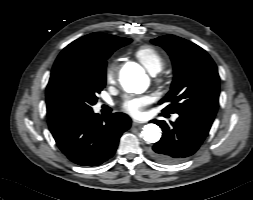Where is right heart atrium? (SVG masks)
Returning <instances> with one entry per match:
<instances>
[{
	"label": "right heart atrium",
	"instance_id": "obj_1",
	"mask_svg": "<svg viewBox=\"0 0 253 200\" xmlns=\"http://www.w3.org/2000/svg\"><path fill=\"white\" fill-rule=\"evenodd\" d=\"M115 71H116V66L115 64L111 63L107 66L106 68V72H105V76H106V80L108 82L112 81L115 77Z\"/></svg>",
	"mask_w": 253,
	"mask_h": 200
}]
</instances>
